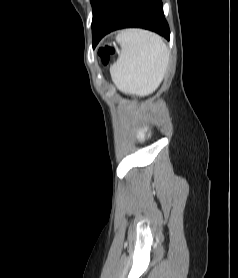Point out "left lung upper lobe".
Masks as SVG:
<instances>
[{"label":"left lung upper lobe","mask_w":238,"mask_h":278,"mask_svg":"<svg viewBox=\"0 0 238 278\" xmlns=\"http://www.w3.org/2000/svg\"><path fill=\"white\" fill-rule=\"evenodd\" d=\"M97 0H91V4L92 6H94V4L96 3Z\"/></svg>","instance_id":"1"}]
</instances>
